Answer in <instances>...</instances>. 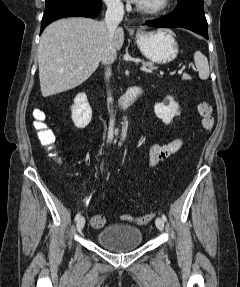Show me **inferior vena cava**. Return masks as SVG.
<instances>
[{
	"mask_svg": "<svg viewBox=\"0 0 240 287\" xmlns=\"http://www.w3.org/2000/svg\"><path fill=\"white\" fill-rule=\"evenodd\" d=\"M107 11L105 15V24L107 26L109 37L112 39L117 30L118 24L122 21L124 15V6L121 0H105ZM106 79L111 76V68L107 67L105 72ZM111 95H108L107 102L112 103ZM114 137V117L112 116L109 123L107 142H111Z\"/></svg>",
	"mask_w": 240,
	"mask_h": 287,
	"instance_id": "inferior-vena-cava-1",
	"label": "inferior vena cava"
}]
</instances>
